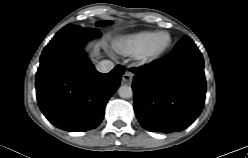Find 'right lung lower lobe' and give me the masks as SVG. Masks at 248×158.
Wrapping results in <instances>:
<instances>
[{
	"instance_id": "1",
	"label": "right lung lower lobe",
	"mask_w": 248,
	"mask_h": 158,
	"mask_svg": "<svg viewBox=\"0 0 248 158\" xmlns=\"http://www.w3.org/2000/svg\"><path fill=\"white\" fill-rule=\"evenodd\" d=\"M99 35L96 28L60 30L42 52L36 73L37 100L46 118L60 129L96 128L120 85L123 66L102 74L83 52L84 44Z\"/></svg>"
}]
</instances>
